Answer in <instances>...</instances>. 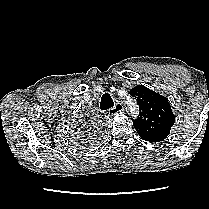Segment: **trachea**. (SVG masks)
I'll list each match as a JSON object with an SVG mask.
<instances>
[{
  "mask_svg": "<svg viewBox=\"0 0 209 209\" xmlns=\"http://www.w3.org/2000/svg\"><path fill=\"white\" fill-rule=\"evenodd\" d=\"M114 107V102L110 96L109 93H104L101 102H100V108L101 110H107Z\"/></svg>",
  "mask_w": 209,
  "mask_h": 209,
  "instance_id": "obj_1",
  "label": "trachea"
}]
</instances>
